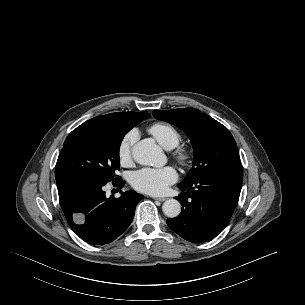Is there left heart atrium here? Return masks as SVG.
<instances>
[{"instance_id":"left-heart-atrium-1","label":"left heart atrium","mask_w":305,"mask_h":305,"mask_svg":"<svg viewBox=\"0 0 305 305\" xmlns=\"http://www.w3.org/2000/svg\"><path fill=\"white\" fill-rule=\"evenodd\" d=\"M177 172L173 167L144 168L131 177L132 186L151 195L163 194L167 188L176 182Z\"/></svg>"}]
</instances>
